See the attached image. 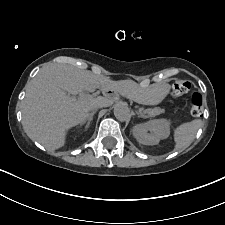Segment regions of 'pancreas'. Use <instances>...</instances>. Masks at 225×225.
Listing matches in <instances>:
<instances>
[{"label": "pancreas", "instance_id": "obj_1", "mask_svg": "<svg viewBox=\"0 0 225 225\" xmlns=\"http://www.w3.org/2000/svg\"><path fill=\"white\" fill-rule=\"evenodd\" d=\"M145 113L147 114L148 117H155L156 115L164 113V109H161L159 107L149 108L145 110Z\"/></svg>", "mask_w": 225, "mask_h": 225}]
</instances>
